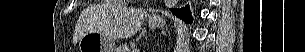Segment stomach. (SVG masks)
<instances>
[{
	"instance_id": "0dacf381",
	"label": "stomach",
	"mask_w": 305,
	"mask_h": 52,
	"mask_svg": "<svg viewBox=\"0 0 305 52\" xmlns=\"http://www.w3.org/2000/svg\"><path fill=\"white\" fill-rule=\"evenodd\" d=\"M165 23L161 17L149 21L152 28H163ZM114 50V39L100 31L88 32L78 41L79 52H116Z\"/></svg>"
}]
</instances>
